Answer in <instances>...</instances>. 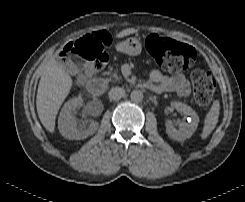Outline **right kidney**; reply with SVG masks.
Here are the masks:
<instances>
[{"instance_id":"obj_1","label":"right kidney","mask_w":245,"mask_h":202,"mask_svg":"<svg viewBox=\"0 0 245 202\" xmlns=\"http://www.w3.org/2000/svg\"><path fill=\"white\" fill-rule=\"evenodd\" d=\"M83 104L81 96L75 97L67 101L58 119V129L62 136L70 140L85 139L90 135H93L98 129V123L92 122L89 127H86L87 123L82 122L78 124L75 113L76 109Z\"/></svg>"}]
</instances>
